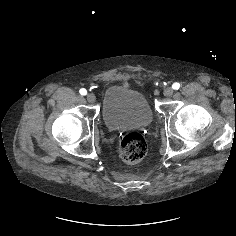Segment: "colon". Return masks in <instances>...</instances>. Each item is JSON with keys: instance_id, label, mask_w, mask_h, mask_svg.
I'll use <instances>...</instances> for the list:
<instances>
[{"instance_id": "colon-1", "label": "colon", "mask_w": 236, "mask_h": 236, "mask_svg": "<svg viewBox=\"0 0 236 236\" xmlns=\"http://www.w3.org/2000/svg\"><path fill=\"white\" fill-rule=\"evenodd\" d=\"M117 152L123 161L137 163L147 153V142L139 132L132 131L121 137L117 144Z\"/></svg>"}]
</instances>
